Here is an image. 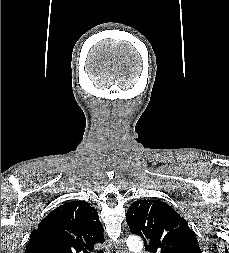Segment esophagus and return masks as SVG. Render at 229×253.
<instances>
[{"mask_svg": "<svg viewBox=\"0 0 229 253\" xmlns=\"http://www.w3.org/2000/svg\"><path fill=\"white\" fill-rule=\"evenodd\" d=\"M117 253H128L124 247L122 240L117 244Z\"/></svg>", "mask_w": 229, "mask_h": 253, "instance_id": "obj_1", "label": "esophagus"}]
</instances>
